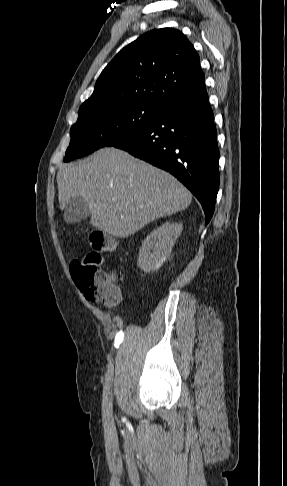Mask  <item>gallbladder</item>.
Returning a JSON list of instances; mask_svg holds the SVG:
<instances>
[{"label": "gallbladder", "instance_id": "1", "mask_svg": "<svg viewBox=\"0 0 287 486\" xmlns=\"http://www.w3.org/2000/svg\"><path fill=\"white\" fill-rule=\"evenodd\" d=\"M89 215V205L82 197L71 198L64 209V220L68 224L80 222Z\"/></svg>", "mask_w": 287, "mask_h": 486}]
</instances>
